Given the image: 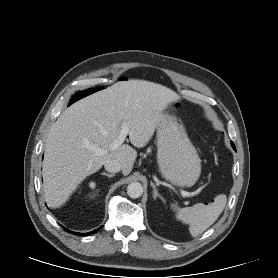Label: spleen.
I'll list each match as a JSON object with an SVG mask.
<instances>
[{"label":"spleen","mask_w":278,"mask_h":278,"mask_svg":"<svg viewBox=\"0 0 278 278\" xmlns=\"http://www.w3.org/2000/svg\"><path fill=\"white\" fill-rule=\"evenodd\" d=\"M226 202L227 197L221 194L216 196L214 202L208 205L198 203L192 207L179 208L174 204L172 207L177 212V218L189 224L190 234L196 237L217 220L224 210Z\"/></svg>","instance_id":"3e777b00"}]
</instances>
